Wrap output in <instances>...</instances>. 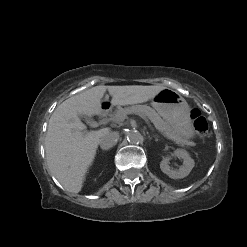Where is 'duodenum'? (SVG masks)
<instances>
[{"label":"duodenum","instance_id":"1","mask_svg":"<svg viewBox=\"0 0 247 247\" xmlns=\"http://www.w3.org/2000/svg\"><path fill=\"white\" fill-rule=\"evenodd\" d=\"M107 114V107L103 106L101 107L100 111H99V117L100 118H104Z\"/></svg>","mask_w":247,"mask_h":247}]
</instances>
